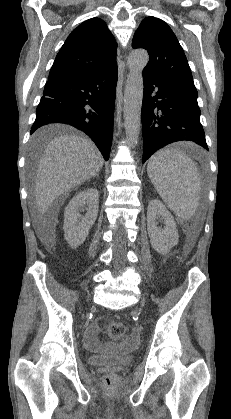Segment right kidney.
<instances>
[{
	"instance_id": "ca27d5eb",
	"label": "right kidney",
	"mask_w": 231,
	"mask_h": 419,
	"mask_svg": "<svg viewBox=\"0 0 231 419\" xmlns=\"http://www.w3.org/2000/svg\"><path fill=\"white\" fill-rule=\"evenodd\" d=\"M87 206L85 216L79 210ZM99 209V192L95 188L80 191L74 196L64 212V237L68 244L77 247L83 244L97 218Z\"/></svg>"
}]
</instances>
